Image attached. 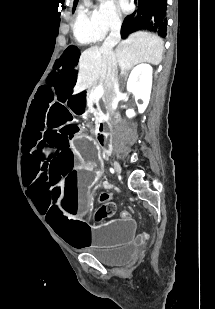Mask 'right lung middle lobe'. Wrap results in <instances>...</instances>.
I'll list each match as a JSON object with an SVG mask.
<instances>
[{
  "instance_id": "obj_1",
  "label": "right lung middle lobe",
  "mask_w": 215,
  "mask_h": 309,
  "mask_svg": "<svg viewBox=\"0 0 215 309\" xmlns=\"http://www.w3.org/2000/svg\"><path fill=\"white\" fill-rule=\"evenodd\" d=\"M77 1H78V0H77ZM76 5H77V2L74 3L73 11L75 10Z\"/></svg>"
}]
</instances>
